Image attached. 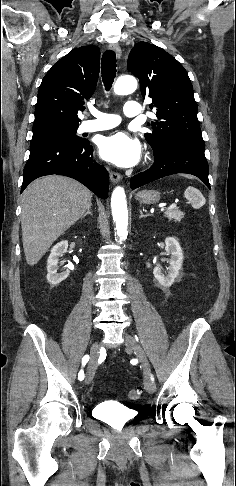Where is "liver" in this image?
<instances>
[{
    "label": "liver",
    "mask_w": 236,
    "mask_h": 486,
    "mask_svg": "<svg viewBox=\"0 0 236 486\" xmlns=\"http://www.w3.org/2000/svg\"><path fill=\"white\" fill-rule=\"evenodd\" d=\"M92 193L59 175L33 181L22 196V242L26 261L38 263L53 242L91 207Z\"/></svg>",
    "instance_id": "obj_1"
}]
</instances>
